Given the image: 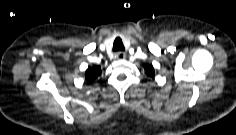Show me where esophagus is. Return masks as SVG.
I'll return each mask as SVG.
<instances>
[{"label":"esophagus","instance_id":"1","mask_svg":"<svg viewBox=\"0 0 236 135\" xmlns=\"http://www.w3.org/2000/svg\"><path fill=\"white\" fill-rule=\"evenodd\" d=\"M115 58L118 60H124L126 58V54L124 52H117Z\"/></svg>","mask_w":236,"mask_h":135}]
</instances>
